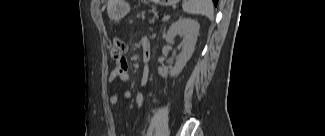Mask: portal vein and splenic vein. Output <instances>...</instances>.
Returning <instances> with one entry per match:
<instances>
[{
    "instance_id": "18ae733b",
    "label": "portal vein and splenic vein",
    "mask_w": 325,
    "mask_h": 136,
    "mask_svg": "<svg viewBox=\"0 0 325 136\" xmlns=\"http://www.w3.org/2000/svg\"><path fill=\"white\" fill-rule=\"evenodd\" d=\"M169 18H170L169 15H164L163 18H162V20H163V21H166V20H168Z\"/></svg>"
}]
</instances>
